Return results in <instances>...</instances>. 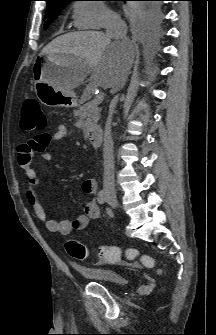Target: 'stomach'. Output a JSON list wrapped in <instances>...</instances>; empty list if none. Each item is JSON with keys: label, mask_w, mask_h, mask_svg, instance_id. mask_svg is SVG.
Segmentation results:
<instances>
[{"label": "stomach", "mask_w": 216, "mask_h": 335, "mask_svg": "<svg viewBox=\"0 0 216 335\" xmlns=\"http://www.w3.org/2000/svg\"><path fill=\"white\" fill-rule=\"evenodd\" d=\"M72 58L69 56L59 59L47 55L39 57L34 65L36 94L40 102L49 107L72 108L78 105L73 91L65 92L60 89L65 73L70 69Z\"/></svg>", "instance_id": "1"}]
</instances>
